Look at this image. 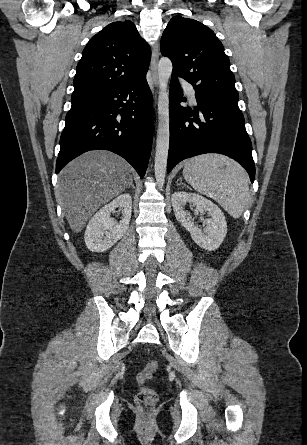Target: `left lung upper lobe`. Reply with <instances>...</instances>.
<instances>
[{
    "mask_svg": "<svg viewBox=\"0 0 307 445\" xmlns=\"http://www.w3.org/2000/svg\"><path fill=\"white\" fill-rule=\"evenodd\" d=\"M160 48L173 63L172 75L191 83L196 95L238 105L230 61L222 43L207 26L174 16L162 35Z\"/></svg>",
    "mask_w": 307,
    "mask_h": 445,
    "instance_id": "left-lung-upper-lobe-1",
    "label": "left lung upper lobe"
}]
</instances>
